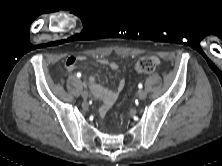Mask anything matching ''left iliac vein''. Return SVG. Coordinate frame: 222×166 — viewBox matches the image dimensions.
<instances>
[{
  "mask_svg": "<svg viewBox=\"0 0 222 166\" xmlns=\"http://www.w3.org/2000/svg\"><path fill=\"white\" fill-rule=\"evenodd\" d=\"M146 96H147V93L144 90H139L138 92L139 99L144 100Z\"/></svg>",
  "mask_w": 222,
  "mask_h": 166,
  "instance_id": "1",
  "label": "left iliac vein"
}]
</instances>
